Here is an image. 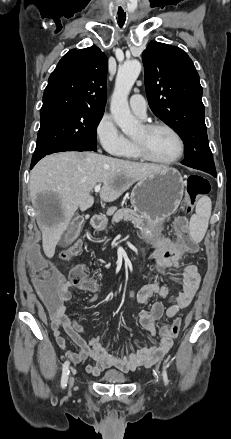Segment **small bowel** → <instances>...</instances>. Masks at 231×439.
<instances>
[{
  "mask_svg": "<svg viewBox=\"0 0 231 439\" xmlns=\"http://www.w3.org/2000/svg\"><path fill=\"white\" fill-rule=\"evenodd\" d=\"M181 250L182 247L174 243L170 238H162L156 244L154 252L156 266L169 264L172 268L178 267L179 264L172 263V258ZM181 278L182 287L175 294L170 293L171 286L169 283H140L139 287L134 291L136 302L140 306L147 303L150 298L168 300L169 306L166 309H164L160 302L153 303L149 310L139 309L138 318L140 325L152 337H155L157 334L155 321L164 313L168 318H173L180 310L186 308L191 303L198 290L200 275L195 265L189 264L184 266ZM75 286L71 280L64 281L62 279L57 292L60 305L56 318H51V328L57 344L62 349L67 347L65 335L76 345V351H66L74 363L83 362L88 358L94 361V363L86 367L88 373L96 376L110 367L124 372L134 371L138 367H149L159 362L169 352L173 341L166 338H161L158 343L151 346L141 347L139 344H136L129 350L117 351L115 353L111 352L103 343L102 333L94 334L88 340L84 339L81 334H86L87 331L76 318L66 314L65 303L72 298L71 289ZM98 297L99 291H95L87 299V302L94 303Z\"/></svg>",
  "mask_w": 231,
  "mask_h": 439,
  "instance_id": "1",
  "label": "small bowel"
}]
</instances>
